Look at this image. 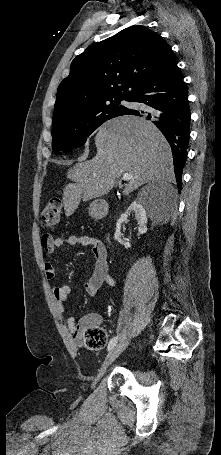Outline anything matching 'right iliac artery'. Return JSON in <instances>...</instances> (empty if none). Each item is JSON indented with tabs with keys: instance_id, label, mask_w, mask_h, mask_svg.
Returning <instances> with one entry per match:
<instances>
[{
	"instance_id": "1",
	"label": "right iliac artery",
	"mask_w": 221,
	"mask_h": 455,
	"mask_svg": "<svg viewBox=\"0 0 221 455\" xmlns=\"http://www.w3.org/2000/svg\"><path fill=\"white\" fill-rule=\"evenodd\" d=\"M117 340H118V337H114L110 340L109 344H108V350H112L114 348V346L116 345L117 343Z\"/></svg>"
}]
</instances>
